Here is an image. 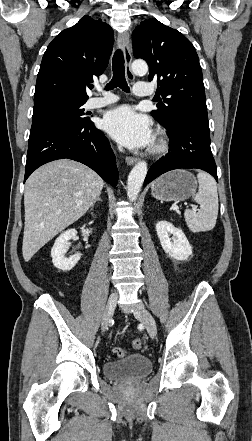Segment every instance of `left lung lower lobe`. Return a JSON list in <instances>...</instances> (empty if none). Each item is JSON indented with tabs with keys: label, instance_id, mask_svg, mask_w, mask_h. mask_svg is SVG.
<instances>
[{
	"label": "left lung lower lobe",
	"instance_id": "obj_1",
	"mask_svg": "<svg viewBox=\"0 0 252 441\" xmlns=\"http://www.w3.org/2000/svg\"><path fill=\"white\" fill-rule=\"evenodd\" d=\"M166 130L170 141L169 153L150 167L144 185L167 171L180 168L202 169L217 180L207 118L187 114Z\"/></svg>",
	"mask_w": 252,
	"mask_h": 441
}]
</instances>
